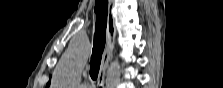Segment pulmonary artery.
Here are the masks:
<instances>
[{"instance_id":"1","label":"pulmonary artery","mask_w":223,"mask_h":88,"mask_svg":"<svg viewBox=\"0 0 223 88\" xmlns=\"http://www.w3.org/2000/svg\"><path fill=\"white\" fill-rule=\"evenodd\" d=\"M80 88H90V85L88 83L84 82L80 85Z\"/></svg>"}]
</instances>
